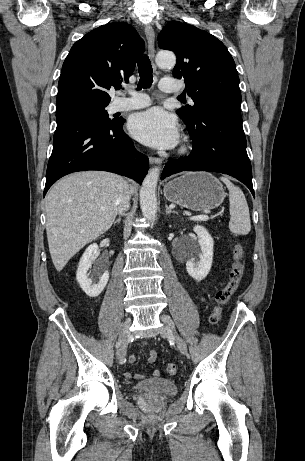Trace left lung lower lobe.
I'll return each instance as SVG.
<instances>
[{
	"instance_id": "obj_1",
	"label": "left lung lower lobe",
	"mask_w": 305,
	"mask_h": 461,
	"mask_svg": "<svg viewBox=\"0 0 305 461\" xmlns=\"http://www.w3.org/2000/svg\"><path fill=\"white\" fill-rule=\"evenodd\" d=\"M185 124L193 150L185 158L168 161L161 179L182 171L220 172L244 183L254 196L240 106H212Z\"/></svg>"
}]
</instances>
